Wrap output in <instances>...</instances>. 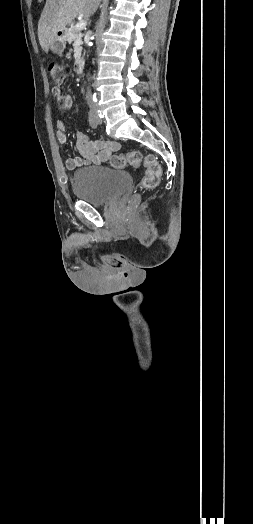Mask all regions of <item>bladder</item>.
<instances>
[{"label":"bladder","mask_w":253,"mask_h":524,"mask_svg":"<svg viewBox=\"0 0 253 524\" xmlns=\"http://www.w3.org/2000/svg\"><path fill=\"white\" fill-rule=\"evenodd\" d=\"M71 183L78 200L102 206L118 198L131 185V178L125 171L89 166L75 171Z\"/></svg>","instance_id":"31cf9c89"}]
</instances>
